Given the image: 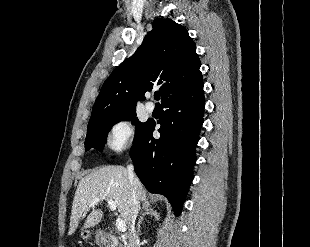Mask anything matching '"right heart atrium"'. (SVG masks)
I'll use <instances>...</instances> for the list:
<instances>
[{
  "label": "right heart atrium",
  "instance_id": "1",
  "mask_svg": "<svg viewBox=\"0 0 310 247\" xmlns=\"http://www.w3.org/2000/svg\"><path fill=\"white\" fill-rule=\"evenodd\" d=\"M133 126L128 120H120L114 123L109 129L105 144L113 152H120L127 148L133 138Z\"/></svg>",
  "mask_w": 310,
  "mask_h": 247
}]
</instances>
